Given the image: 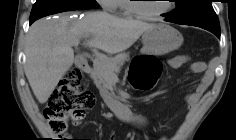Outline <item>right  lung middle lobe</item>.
<instances>
[{"mask_svg":"<svg viewBox=\"0 0 236 140\" xmlns=\"http://www.w3.org/2000/svg\"><path fill=\"white\" fill-rule=\"evenodd\" d=\"M99 8L95 0H37L33 5L30 20H37L41 17L78 9Z\"/></svg>","mask_w":236,"mask_h":140,"instance_id":"right-lung-middle-lobe-1","label":"right lung middle lobe"}]
</instances>
